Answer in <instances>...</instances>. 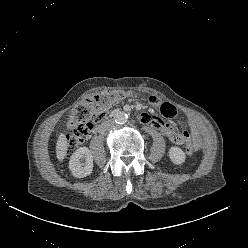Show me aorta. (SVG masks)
<instances>
[{
    "label": "aorta",
    "instance_id": "obj_1",
    "mask_svg": "<svg viewBox=\"0 0 248 248\" xmlns=\"http://www.w3.org/2000/svg\"><path fill=\"white\" fill-rule=\"evenodd\" d=\"M127 119H128V116L123 111H119V112L115 113V115H114V120L118 124H123V123L127 122Z\"/></svg>",
    "mask_w": 248,
    "mask_h": 248
}]
</instances>
